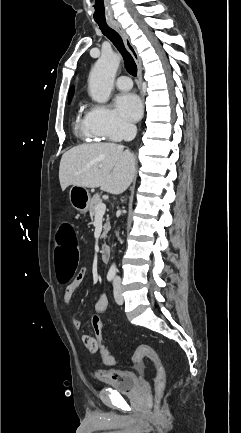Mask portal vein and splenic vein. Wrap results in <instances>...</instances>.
I'll use <instances>...</instances> for the list:
<instances>
[{
    "instance_id": "portal-vein-and-splenic-vein-1",
    "label": "portal vein and splenic vein",
    "mask_w": 241,
    "mask_h": 433,
    "mask_svg": "<svg viewBox=\"0 0 241 433\" xmlns=\"http://www.w3.org/2000/svg\"><path fill=\"white\" fill-rule=\"evenodd\" d=\"M106 210V205L104 203H101L96 206V215H103Z\"/></svg>"
}]
</instances>
